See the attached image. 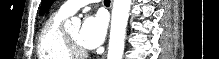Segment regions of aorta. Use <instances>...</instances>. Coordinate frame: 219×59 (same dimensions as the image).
<instances>
[{
    "instance_id": "obj_1",
    "label": "aorta",
    "mask_w": 219,
    "mask_h": 59,
    "mask_svg": "<svg viewBox=\"0 0 219 59\" xmlns=\"http://www.w3.org/2000/svg\"><path fill=\"white\" fill-rule=\"evenodd\" d=\"M131 0H114L107 59H122Z\"/></svg>"
}]
</instances>
